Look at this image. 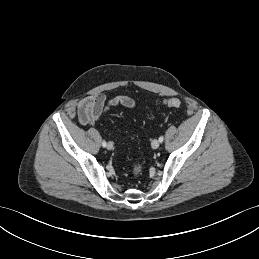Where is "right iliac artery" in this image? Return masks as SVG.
Instances as JSON below:
<instances>
[{
    "instance_id": "1",
    "label": "right iliac artery",
    "mask_w": 259,
    "mask_h": 259,
    "mask_svg": "<svg viewBox=\"0 0 259 259\" xmlns=\"http://www.w3.org/2000/svg\"><path fill=\"white\" fill-rule=\"evenodd\" d=\"M102 146H103V147H106V146H107V143H106V141H105V140H103V142H102Z\"/></svg>"
}]
</instances>
